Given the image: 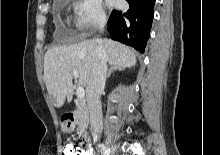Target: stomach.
I'll return each mask as SVG.
<instances>
[{
    "label": "stomach",
    "mask_w": 220,
    "mask_h": 155,
    "mask_svg": "<svg viewBox=\"0 0 220 155\" xmlns=\"http://www.w3.org/2000/svg\"><path fill=\"white\" fill-rule=\"evenodd\" d=\"M75 128V123L71 120H63L61 123V130L64 133H71Z\"/></svg>",
    "instance_id": "0dacf381"
}]
</instances>
